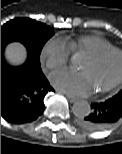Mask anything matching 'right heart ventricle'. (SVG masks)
I'll list each match as a JSON object with an SVG mask.
<instances>
[{
  "label": "right heart ventricle",
  "mask_w": 122,
  "mask_h": 154,
  "mask_svg": "<svg viewBox=\"0 0 122 154\" xmlns=\"http://www.w3.org/2000/svg\"><path fill=\"white\" fill-rule=\"evenodd\" d=\"M67 46L71 52H83L86 54H93L102 50L114 48V46L107 39L97 35H83L75 39L67 40Z\"/></svg>",
  "instance_id": "obj_1"
}]
</instances>
